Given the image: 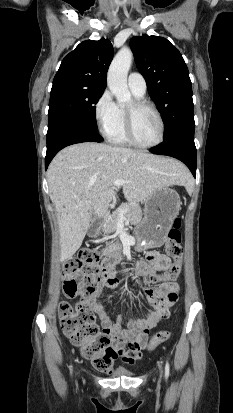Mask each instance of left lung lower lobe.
<instances>
[{
	"label": "left lung lower lobe",
	"instance_id": "obj_1",
	"mask_svg": "<svg viewBox=\"0 0 233 413\" xmlns=\"http://www.w3.org/2000/svg\"><path fill=\"white\" fill-rule=\"evenodd\" d=\"M150 152L179 159L187 165L193 176L196 177V147L193 131H180L167 141L150 149Z\"/></svg>",
	"mask_w": 233,
	"mask_h": 413
}]
</instances>
